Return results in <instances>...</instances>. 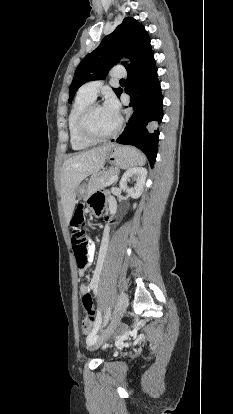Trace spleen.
<instances>
[{"label": "spleen", "mask_w": 233, "mask_h": 414, "mask_svg": "<svg viewBox=\"0 0 233 414\" xmlns=\"http://www.w3.org/2000/svg\"><path fill=\"white\" fill-rule=\"evenodd\" d=\"M145 163V158L142 155L141 158L133 166H142Z\"/></svg>", "instance_id": "obj_1"}]
</instances>
